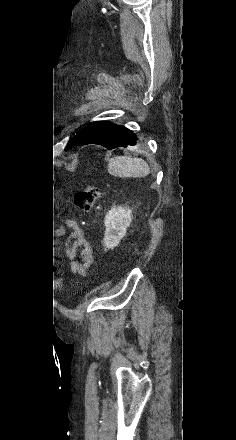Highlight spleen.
Masks as SVG:
<instances>
[{
	"mask_svg": "<svg viewBox=\"0 0 236 440\" xmlns=\"http://www.w3.org/2000/svg\"><path fill=\"white\" fill-rule=\"evenodd\" d=\"M108 171L119 177H146L150 173V168L141 158L119 156L109 160Z\"/></svg>",
	"mask_w": 236,
	"mask_h": 440,
	"instance_id": "obj_1",
	"label": "spleen"
}]
</instances>
